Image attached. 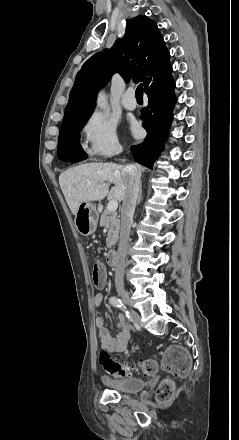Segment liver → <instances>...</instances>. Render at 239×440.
Returning <instances> with one entry per match:
<instances>
[{"label": "liver", "mask_w": 239, "mask_h": 440, "mask_svg": "<svg viewBox=\"0 0 239 440\" xmlns=\"http://www.w3.org/2000/svg\"><path fill=\"white\" fill-rule=\"evenodd\" d=\"M135 166L140 178L144 168L139 164ZM123 168L126 166L119 164H80L76 168L62 172L59 176V184L72 214H76L82 202L104 200L106 196L108 200L122 202L126 196L127 180ZM106 182L115 184L110 192Z\"/></svg>", "instance_id": "1"}]
</instances>
